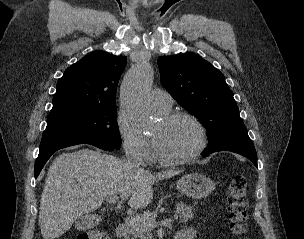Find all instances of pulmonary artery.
Here are the masks:
<instances>
[{
    "label": "pulmonary artery",
    "mask_w": 304,
    "mask_h": 239,
    "mask_svg": "<svg viewBox=\"0 0 304 239\" xmlns=\"http://www.w3.org/2000/svg\"><path fill=\"white\" fill-rule=\"evenodd\" d=\"M151 104L161 112H168L172 108L173 100L170 94L161 89H154L149 96Z\"/></svg>",
    "instance_id": "pulmonary-artery-1"
}]
</instances>
